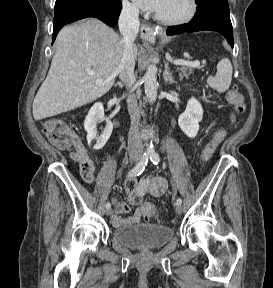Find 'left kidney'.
<instances>
[{"instance_id":"1","label":"left kidney","mask_w":273,"mask_h":288,"mask_svg":"<svg viewBox=\"0 0 273 288\" xmlns=\"http://www.w3.org/2000/svg\"><path fill=\"white\" fill-rule=\"evenodd\" d=\"M202 118V106L197 99L192 97L187 103L186 110L179 116L178 124L186 136L195 138Z\"/></svg>"}]
</instances>
